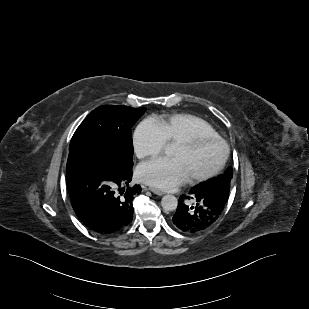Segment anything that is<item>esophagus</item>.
<instances>
[{
	"label": "esophagus",
	"instance_id": "34e87169",
	"mask_svg": "<svg viewBox=\"0 0 309 309\" xmlns=\"http://www.w3.org/2000/svg\"><path fill=\"white\" fill-rule=\"evenodd\" d=\"M148 189L154 194L159 195V196H162L165 194L162 190L154 188V187H149Z\"/></svg>",
	"mask_w": 309,
	"mask_h": 309
}]
</instances>
